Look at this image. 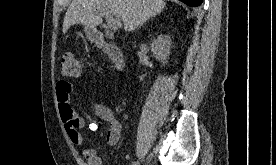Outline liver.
Listing matches in <instances>:
<instances>
[{
  "label": "liver",
  "instance_id": "obj_1",
  "mask_svg": "<svg viewBox=\"0 0 276 165\" xmlns=\"http://www.w3.org/2000/svg\"><path fill=\"white\" fill-rule=\"evenodd\" d=\"M165 6L163 0H73L64 17L63 33L75 24L95 28L102 23L103 9L120 18L126 31H133L160 14Z\"/></svg>",
  "mask_w": 276,
  "mask_h": 165
}]
</instances>
